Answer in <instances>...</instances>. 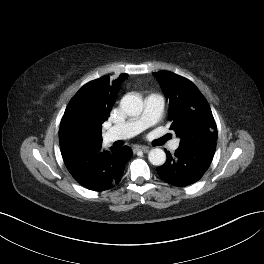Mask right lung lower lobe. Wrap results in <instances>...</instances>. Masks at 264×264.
<instances>
[{
	"label": "right lung lower lobe",
	"mask_w": 264,
	"mask_h": 264,
	"mask_svg": "<svg viewBox=\"0 0 264 264\" xmlns=\"http://www.w3.org/2000/svg\"><path fill=\"white\" fill-rule=\"evenodd\" d=\"M61 154L73 178L93 191L108 190L118 184L132 157L127 146L103 150L102 140L63 147Z\"/></svg>",
	"instance_id": "right-lung-lower-lobe-1"
}]
</instances>
